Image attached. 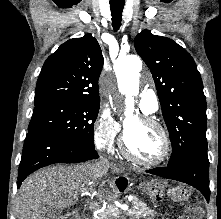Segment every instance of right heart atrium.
<instances>
[{
  "label": "right heart atrium",
  "mask_w": 221,
  "mask_h": 219,
  "mask_svg": "<svg viewBox=\"0 0 221 219\" xmlns=\"http://www.w3.org/2000/svg\"><path fill=\"white\" fill-rule=\"evenodd\" d=\"M119 132V124L111 112L102 109L94 122V142L96 147L103 152H110Z\"/></svg>",
  "instance_id": "d8ad5b80"
}]
</instances>
